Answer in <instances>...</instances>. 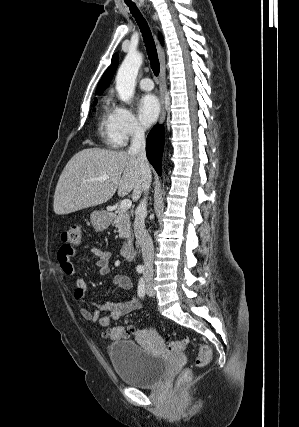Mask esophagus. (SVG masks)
Returning <instances> with one entry per match:
<instances>
[{
  "label": "esophagus",
  "mask_w": 299,
  "mask_h": 427,
  "mask_svg": "<svg viewBox=\"0 0 299 427\" xmlns=\"http://www.w3.org/2000/svg\"><path fill=\"white\" fill-rule=\"evenodd\" d=\"M153 19H157V15H153ZM157 50H158V57L160 62V102H161V112H160V118L159 123L161 124L166 116V107H165V52L159 42H157Z\"/></svg>",
  "instance_id": "obj_1"
}]
</instances>
